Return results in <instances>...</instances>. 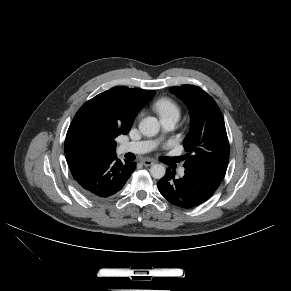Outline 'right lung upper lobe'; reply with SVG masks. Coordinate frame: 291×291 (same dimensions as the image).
<instances>
[{
	"instance_id": "1",
	"label": "right lung upper lobe",
	"mask_w": 291,
	"mask_h": 291,
	"mask_svg": "<svg viewBox=\"0 0 291 291\" xmlns=\"http://www.w3.org/2000/svg\"><path fill=\"white\" fill-rule=\"evenodd\" d=\"M154 93L153 90L114 87L83 104L66 134L67 163L71 165L89 156L115 153L110 146H95L89 133L100 131L115 137L127 134L138 111Z\"/></svg>"
}]
</instances>
